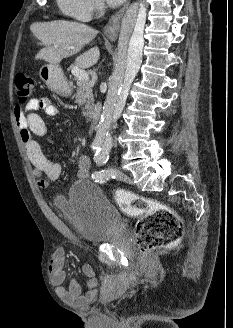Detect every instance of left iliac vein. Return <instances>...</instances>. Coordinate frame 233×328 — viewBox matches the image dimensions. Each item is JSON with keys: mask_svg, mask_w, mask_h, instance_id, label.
I'll return each mask as SVG.
<instances>
[{"mask_svg": "<svg viewBox=\"0 0 233 328\" xmlns=\"http://www.w3.org/2000/svg\"><path fill=\"white\" fill-rule=\"evenodd\" d=\"M115 177L121 181L132 183V179L129 176H127L125 173H123L119 170L115 171Z\"/></svg>", "mask_w": 233, "mask_h": 328, "instance_id": "4c4485c4", "label": "left iliac vein"}]
</instances>
